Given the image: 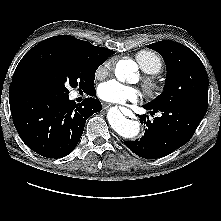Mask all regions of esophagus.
Listing matches in <instances>:
<instances>
[{"mask_svg": "<svg viewBox=\"0 0 221 221\" xmlns=\"http://www.w3.org/2000/svg\"><path fill=\"white\" fill-rule=\"evenodd\" d=\"M109 107V105H104V108L107 109Z\"/></svg>", "mask_w": 221, "mask_h": 221, "instance_id": "obj_1", "label": "esophagus"}]
</instances>
